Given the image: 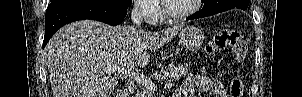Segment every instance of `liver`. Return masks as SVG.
Here are the masks:
<instances>
[{
  "label": "liver",
  "mask_w": 302,
  "mask_h": 97,
  "mask_svg": "<svg viewBox=\"0 0 302 97\" xmlns=\"http://www.w3.org/2000/svg\"><path fill=\"white\" fill-rule=\"evenodd\" d=\"M183 27L145 32L93 20L65 25L45 48L54 97H110L118 78L105 72L107 66L117 65L129 73L146 66L148 51L169 43Z\"/></svg>",
  "instance_id": "liver-1"
}]
</instances>
